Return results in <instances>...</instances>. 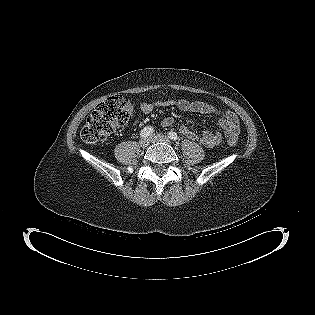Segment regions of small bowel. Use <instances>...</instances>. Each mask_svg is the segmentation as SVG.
<instances>
[{
  "label": "small bowel",
  "mask_w": 315,
  "mask_h": 315,
  "mask_svg": "<svg viewBox=\"0 0 315 315\" xmlns=\"http://www.w3.org/2000/svg\"><path fill=\"white\" fill-rule=\"evenodd\" d=\"M175 106L182 112H194L204 115H215L218 117L220 128L223 130L228 139L238 138L240 131V123L238 117L231 111L223 110L212 104L202 101H190L187 99L171 100L163 99L155 102H143L140 105V110L143 114L151 113L155 108H166ZM126 109L132 115L134 113L133 104L129 101L126 103ZM175 120L173 117H166L162 121L164 127L171 126ZM180 133L192 140H197L206 147H214L218 145L222 139L219 131H204L197 133L187 126L180 127Z\"/></svg>",
  "instance_id": "1"
}]
</instances>
